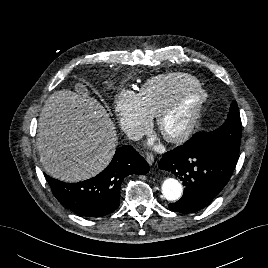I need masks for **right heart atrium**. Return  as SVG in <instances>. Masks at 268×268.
<instances>
[{"label":"right heart atrium","instance_id":"obj_1","mask_svg":"<svg viewBox=\"0 0 268 268\" xmlns=\"http://www.w3.org/2000/svg\"><path fill=\"white\" fill-rule=\"evenodd\" d=\"M114 112L123 130L129 134L144 132L153 120L139 93L125 90L115 99Z\"/></svg>","mask_w":268,"mask_h":268}]
</instances>
